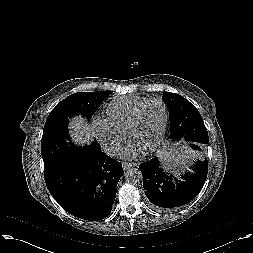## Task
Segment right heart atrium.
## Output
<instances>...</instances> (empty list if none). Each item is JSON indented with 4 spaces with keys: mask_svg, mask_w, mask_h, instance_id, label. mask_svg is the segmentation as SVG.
<instances>
[{
    "mask_svg": "<svg viewBox=\"0 0 253 253\" xmlns=\"http://www.w3.org/2000/svg\"><path fill=\"white\" fill-rule=\"evenodd\" d=\"M93 128L97 139L104 150L110 154H115L121 148L125 134L117 130L108 119L95 118Z\"/></svg>",
    "mask_w": 253,
    "mask_h": 253,
    "instance_id": "d8ad5b80",
    "label": "right heart atrium"
}]
</instances>
